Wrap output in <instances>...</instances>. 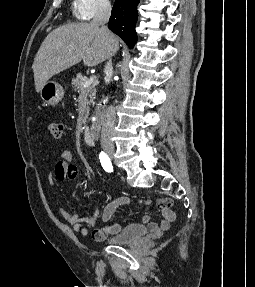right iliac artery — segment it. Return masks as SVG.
<instances>
[{
    "mask_svg": "<svg viewBox=\"0 0 255 287\" xmlns=\"http://www.w3.org/2000/svg\"><path fill=\"white\" fill-rule=\"evenodd\" d=\"M99 158L104 170L107 172H112L113 167L110 158L104 152L100 153Z\"/></svg>",
    "mask_w": 255,
    "mask_h": 287,
    "instance_id": "82829eb1",
    "label": "right iliac artery"
}]
</instances>
